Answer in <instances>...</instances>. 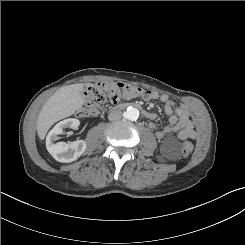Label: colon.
I'll return each mask as SVG.
<instances>
[{"mask_svg": "<svg viewBox=\"0 0 245 245\" xmlns=\"http://www.w3.org/2000/svg\"><path fill=\"white\" fill-rule=\"evenodd\" d=\"M146 91L143 89L123 83V82H98L88 85L85 89V101L80 111L82 116H94L102 111L103 105L107 102L116 104L124 99L144 96ZM194 146L186 141L181 146L180 154L187 157L192 154Z\"/></svg>", "mask_w": 245, "mask_h": 245, "instance_id": "obj_1", "label": "colon"}]
</instances>
